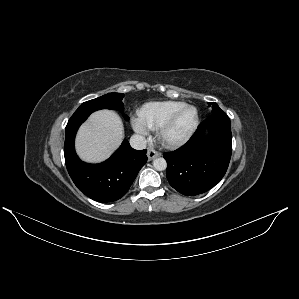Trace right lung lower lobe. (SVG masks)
<instances>
[{
  "mask_svg": "<svg viewBox=\"0 0 299 299\" xmlns=\"http://www.w3.org/2000/svg\"><path fill=\"white\" fill-rule=\"evenodd\" d=\"M89 115H73L66 125L64 156L68 173L78 189L98 202L120 199L147 162L146 150L133 149L127 140L105 162L87 164L75 153L74 140L79 126Z\"/></svg>",
  "mask_w": 299,
  "mask_h": 299,
  "instance_id": "1",
  "label": "right lung lower lobe"
}]
</instances>
